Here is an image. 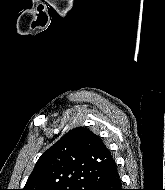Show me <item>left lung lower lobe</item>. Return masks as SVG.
I'll return each mask as SVG.
<instances>
[{
	"label": "left lung lower lobe",
	"instance_id": "0a47b994",
	"mask_svg": "<svg viewBox=\"0 0 165 190\" xmlns=\"http://www.w3.org/2000/svg\"><path fill=\"white\" fill-rule=\"evenodd\" d=\"M92 190H123L116 163Z\"/></svg>",
	"mask_w": 165,
	"mask_h": 190
}]
</instances>
